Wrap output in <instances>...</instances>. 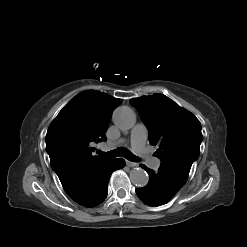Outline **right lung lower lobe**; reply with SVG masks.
<instances>
[{"label":"right lung lower lobe","instance_id":"1","mask_svg":"<svg viewBox=\"0 0 247 247\" xmlns=\"http://www.w3.org/2000/svg\"><path fill=\"white\" fill-rule=\"evenodd\" d=\"M124 166L123 159H110L101 166L71 179L63 188L76 203L86 207L97 206L107 196L112 172Z\"/></svg>","mask_w":247,"mask_h":247}]
</instances>
